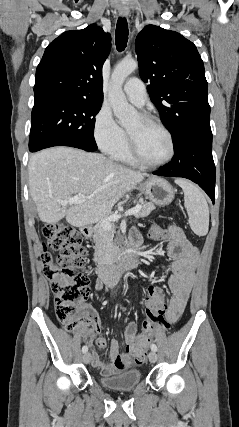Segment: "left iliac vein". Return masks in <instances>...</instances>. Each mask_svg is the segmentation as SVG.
<instances>
[{
  "label": "left iliac vein",
  "instance_id": "1",
  "mask_svg": "<svg viewBox=\"0 0 239 427\" xmlns=\"http://www.w3.org/2000/svg\"><path fill=\"white\" fill-rule=\"evenodd\" d=\"M149 361H150L151 363H155V362L157 361V354H156V352H155V351H151V352L149 353Z\"/></svg>",
  "mask_w": 239,
  "mask_h": 427
}]
</instances>
